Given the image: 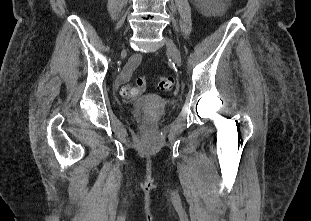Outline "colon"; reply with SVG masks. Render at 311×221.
Segmentation results:
<instances>
[{"label":"colon","instance_id":"colon-1","mask_svg":"<svg viewBox=\"0 0 311 221\" xmlns=\"http://www.w3.org/2000/svg\"><path fill=\"white\" fill-rule=\"evenodd\" d=\"M176 85V80L172 76H161L158 80V88L164 92H171ZM145 82L138 84V87L143 89L145 88ZM136 94V88L130 84H124L121 89V96L124 99H129Z\"/></svg>","mask_w":311,"mask_h":221}]
</instances>
